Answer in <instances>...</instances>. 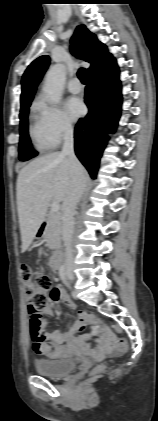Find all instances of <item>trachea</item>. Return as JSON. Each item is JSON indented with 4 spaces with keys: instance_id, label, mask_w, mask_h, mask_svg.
<instances>
[{
    "instance_id": "1",
    "label": "trachea",
    "mask_w": 158,
    "mask_h": 421,
    "mask_svg": "<svg viewBox=\"0 0 158 421\" xmlns=\"http://www.w3.org/2000/svg\"><path fill=\"white\" fill-rule=\"evenodd\" d=\"M77 75H78V78L80 79V81H81L83 84L87 83V71H86V69H84V68H80V69L78 70Z\"/></svg>"
}]
</instances>
